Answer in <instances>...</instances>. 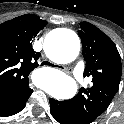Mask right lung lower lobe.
Returning a JSON list of instances; mask_svg holds the SVG:
<instances>
[{
	"label": "right lung lower lobe",
	"mask_w": 124,
	"mask_h": 124,
	"mask_svg": "<svg viewBox=\"0 0 124 124\" xmlns=\"http://www.w3.org/2000/svg\"><path fill=\"white\" fill-rule=\"evenodd\" d=\"M31 93L20 101L0 105V116H11L23 110Z\"/></svg>",
	"instance_id": "1"
}]
</instances>
